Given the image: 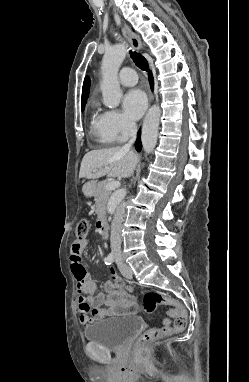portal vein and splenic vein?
<instances>
[{
	"label": "portal vein and splenic vein",
	"mask_w": 249,
	"mask_h": 382,
	"mask_svg": "<svg viewBox=\"0 0 249 382\" xmlns=\"http://www.w3.org/2000/svg\"><path fill=\"white\" fill-rule=\"evenodd\" d=\"M120 182L119 181H111L106 184V189L107 190H115L118 187H120Z\"/></svg>",
	"instance_id": "portal-vein-and-splenic-vein-1"
}]
</instances>
